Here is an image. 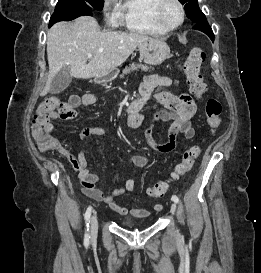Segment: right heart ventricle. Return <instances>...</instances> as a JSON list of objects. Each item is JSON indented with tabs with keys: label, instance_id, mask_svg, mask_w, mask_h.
<instances>
[{
	"label": "right heart ventricle",
	"instance_id": "obj_1",
	"mask_svg": "<svg viewBox=\"0 0 261 273\" xmlns=\"http://www.w3.org/2000/svg\"><path fill=\"white\" fill-rule=\"evenodd\" d=\"M157 0H117L114 21L126 30L145 35H164L167 31L153 19V7Z\"/></svg>",
	"mask_w": 261,
	"mask_h": 273
}]
</instances>
